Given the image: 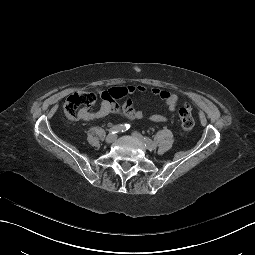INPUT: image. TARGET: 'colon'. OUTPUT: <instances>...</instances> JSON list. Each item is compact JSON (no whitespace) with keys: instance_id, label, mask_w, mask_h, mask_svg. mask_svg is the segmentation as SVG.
Returning a JSON list of instances; mask_svg holds the SVG:
<instances>
[{"instance_id":"1","label":"colon","mask_w":255,"mask_h":255,"mask_svg":"<svg viewBox=\"0 0 255 255\" xmlns=\"http://www.w3.org/2000/svg\"><path fill=\"white\" fill-rule=\"evenodd\" d=\"M127 94L128 90L126 88H112L105 92V95L113 100L125 97ZM95 102L96 96L94 93L88 91L76 92L67 98L64 104V114L70 120L79 119ZM178 115L181 129L184 132L190 131L194 126L191 107L183 106L180 108Z\"/></svg>"}]
</instances>
